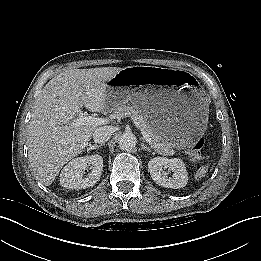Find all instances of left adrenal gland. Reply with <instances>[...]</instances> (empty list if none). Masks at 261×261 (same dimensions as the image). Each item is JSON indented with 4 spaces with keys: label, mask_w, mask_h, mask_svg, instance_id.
<instances>
[{
    "label": "left adrenal gland",
    "mask_w": 261,
    "mask_h": 261,
    "mask_svg": "<svg viewBox=\"0 0 261 261\" xmlns=\"http://www.w3.org/2000/svg\"><path fill=\"white\" fill-rule=\"evenodd\" d=\"M141 149H142V150H145V151H148V152H151L150 147H148L147 145H145V144H144V141H143V143H141Z\"/></svg>",
    "instance_id": "left-adrenal-gland-1"
}]
</instances>
